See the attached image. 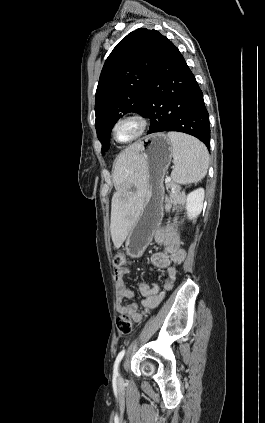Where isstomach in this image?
<instances>
[{
    "label": "stomach",
    "instance_id": "obj_1",
    "mask_svg": "<svg viewBox=\"0 0 265 423\" xmlns=\"http://www.w3.org/2000/svg\"><path fill=\"white\" fill-rule=\"evenodd\" d=\"M138 154L146 172L144 202L132 228L125 249L129 256H142L163 217V179L172 159V143L164 133L147 136L139 142Z\"/></svg>",
    "mask_w": 265,
    "mask_h": 423
}]
</instances>
